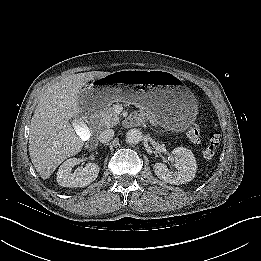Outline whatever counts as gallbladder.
Wrapping results in <instances>:
<instances>
[{
	"label": "gallbladder",
	"instance_id": "gallbladder-1",
	"mask_svg": "<svg viewBox=\"0 0 261 261\" xmlns=\"http://www.w3.org/2000/svg\"><path fill=\"white\" fill-rule=\"evenodd\" d=\"M73 128L77 131L78 136L81 140L86 141L91 136V131L87 127V125L83 122V120L77 119L73 123Z\"/></svg>",
	"mask_w": 261,
	"mask_h": 261
}]
</instances>
